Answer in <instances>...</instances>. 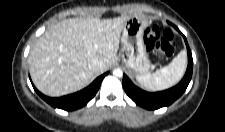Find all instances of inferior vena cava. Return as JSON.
<instances>
[{"label": "inferior vena cava", "instance_id": "inferior-vena-cava-1", "mask_svg": "<svg viewBox=\"0 0 225 132\" xmlns=\"http://www.w3.org/2000/svg\"><path fill=\"white\" fill-rule=\"evenodd\" d=\"M90 70H92L94 73L101 74L104 72L105 64L103 61L99 59H94L89 65Z\"/></svg>", "mask_w": 225, "mask_h": 132}]
</instances>
